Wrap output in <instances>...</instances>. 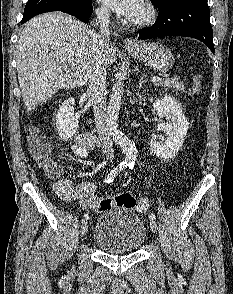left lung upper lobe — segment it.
I'll return each instance as SVG.
<instances>
[{
	"mask_svg": "<svg viewBox=\"0 0 233 294\" xmlns=\"http://www.w3.org/2000/svg\"><path fill=\"white\" fill-rule=\"evenodd\" d=\"M164 1H167V0H151V2H152L153 4H156V5H159V4H161L162 2H164Z\"/></svg>",
	"mask_w": 233,
	"mask_h": 294,
	"instance_id": "5c2ea615",
	"label": "left lung upper lobe"
}]
</instances>
